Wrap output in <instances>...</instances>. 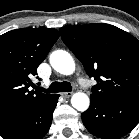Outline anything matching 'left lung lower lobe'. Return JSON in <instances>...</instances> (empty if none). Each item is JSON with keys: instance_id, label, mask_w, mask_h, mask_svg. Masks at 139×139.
<instances>
[{"instance_id": "1", "label": "left lung lower lobe", "mask_w": 139, "mask_h": 139, "mask_svg": "<svg viewBox=\"0 0 139 139\" xmlns=\"http://www.w3.org/2000/svg\"><path fill=\"white\" fill-rule=\"evenodd\" d=\"M90 107L81 114L89 132L104 139L129 133L139 123V96L103 103L90 97Z\"/></svg>"}]
</instances>
